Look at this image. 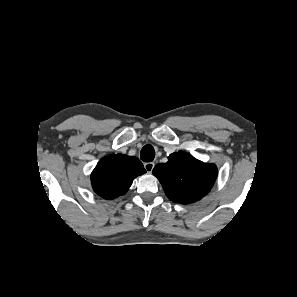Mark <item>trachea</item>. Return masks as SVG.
<instances>
[{"instance_id": "3493384b", "label": "trachea", "mask_w": 297, "mask_h": 297, "mask_svg": "<svg viewBox=\"0 0 297 297\" xmlns=\"http://www.w3.org/2000/svg\"><path fill=\"white\" fill-rule=\"evenodd\" d=\"M140 158L144 162H151L155 158V150L154 147L150 144L145 145L140 153Z\"/></svg>"}]
</instances>
